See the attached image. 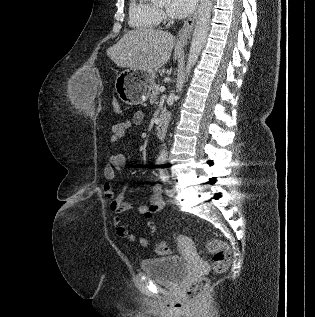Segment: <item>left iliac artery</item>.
<instances>
[{
  "label": "left iliac artery",
  "mask_w": 315,
  "mask_h": 317,
  "mask_svg": "<svg viewBox=\"0 0 315 317\" xmlns=\"http://www.w3.org/2000/svg\"><path fill=\"white\" fill-rule=\"evenodd\" d=\"M160 178H161V180L164 181V182L167 181V177H166L165 174L163 173V170L160 171ZM167 191H168V190H166V192H167Z\"/></svg>",
  "instance_id": "obj_1"
}]
</instances>
